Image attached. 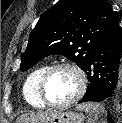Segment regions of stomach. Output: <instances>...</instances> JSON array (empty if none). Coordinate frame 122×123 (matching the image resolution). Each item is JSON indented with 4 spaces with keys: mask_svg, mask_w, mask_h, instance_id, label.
<instances>
[{
    "mask_svg": "<svg viewBox=\"0 0 122 123\" xmlns=\"http://www.w3.org/2000/svg\"><path fill=\"white\" fill-rule=\"evenodd\" d=\"M85 117L81 113L72 111L51 112L50 119L45 123H84Z\"/></svg>",
    "mask_w": 122,
    "mask_h": 123,
    "instance_id": "0dacf381",
    "label": "stomach"
}]
</instances>
